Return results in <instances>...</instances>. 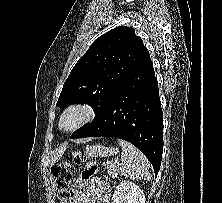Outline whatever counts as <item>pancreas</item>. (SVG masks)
<instances>
[{"label": "pancreas", "instance_id": "cf45deb5", "mask_svg": "<svg viewBox=\"0 0 222 203\" xmlns=\"http://www.w3.org/2000/svg\"><path fill=\"white\" fill-rule=\"evenodd\" d=\"M106 167L108 175L112 178H116L118 172V164L116 163V161L108 163Z\"/></svg>", "mask_w": 222, "mask_h": 203}]
</instances>
